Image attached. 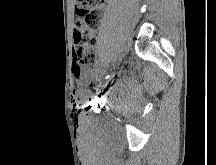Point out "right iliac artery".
<instances>
[{
	"instance_id": "obj_1",
	"label": "right iliac artery",
	"mask_w": 216,
	"mask_h": 165,
	"mask_svg": "<svg viewBox=\"0 0 216 165\" xmlns=\"http://www.w3.org/2000/svg\"><path fill=\"white\" fill-rule=\"evenodd\" d=\"M108 60H109V57L104 56L103 59H101V61H99V64L96 65V68L94 70L97 72L100 68L105 66V64L108 62Z\"/></svg>"
}]
</instances>
